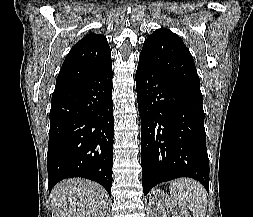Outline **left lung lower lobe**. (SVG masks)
Wrapping results in <instances>:
<instances>
[{"mask_svg": "<svg viewBox=\"0 0 253 217\" xmlns=\"http://www.w3.org/2000/svg\"><path fill=\"white\" fill-rule=\"evenodd\" d=\"M136 91L141 117L142 186L178 177L198 180L209 191V160L199 89L163 75L139 59Z\"/></svg>", "mask_w": 253, "mask_h": 217, "instance_id": "1", "label": "left lung lower lobe"}]
</instances>
